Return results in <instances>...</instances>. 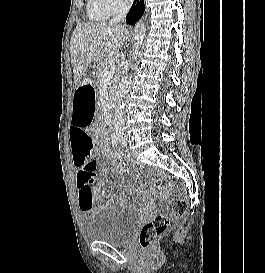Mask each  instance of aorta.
Masks as SVG:
<instances>
[{"mask_svg": "<svg viewBox=\"0 0 265 273\" xmlns=\"http://www.w3.org/2000/svg\"><path fill=\"white\" fill-rule=\"evenodd\" d=\"M146 26L145 23L140 20L137 22L134 28V53L138 52L141 43L145 37ZM131 85V75H126L121 79L119 83L118 90L115 96V107H114V121L117 125H122L124 122L125 112H124V101L123 98L128 93Z\"/></svg>", "mask_w": 265, "mask_h": 273, "instance_id": "762f6f07", "label": "aorta"}]
</instances>
